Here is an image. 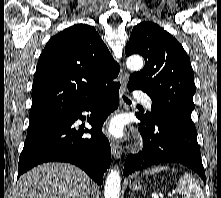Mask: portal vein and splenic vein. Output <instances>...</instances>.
Returning <instances> with one entry per match:
<instances>
[{
	"instance_id": "1",
	"label": "portal vein and splenic vein",
	"mask_w": 221,
	"mask_h": 198,
	"mask_svg": "<svg viewBox=\"0 0 221 198\" xmlns=\"http://www.w3.org/2000/svg\"><path fill=\"white\" fill-rule=\"evenodd\" d=\"M169 197H171V195H170ZM175 198H178V197H177V196H175Z\"/></svg>"
}]
</instances>
